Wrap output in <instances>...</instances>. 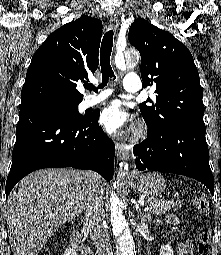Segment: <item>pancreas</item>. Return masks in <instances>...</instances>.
Instances as JSON below:
<instances>
[{
  "mask_svg": "<svg viewBox=\"0 0 221 255\" xmlns=\"http://www.w3.org/2000/svg\"><path fill=\"white\" fill-rule=\"evenodd\" d=\"M145 205L149 207L151 213L161 215L166 213L167 210L174 208L175 210L181 208V202H174L173 200L162 199H149L145 202Z\"/></svg>",
  "mask_w": 221,
  "mask_h": 255,
  "instance_id": "1",
  "label": "pancreas"
}]
</instances>
